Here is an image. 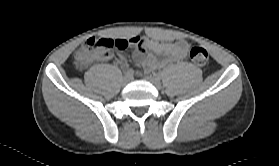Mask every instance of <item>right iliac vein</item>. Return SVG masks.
I'll list each match as a JSON object with an SVG mask.
<instances>
[{
	"label": "right iliac vein",
	"instance_id": "63e3f726",
	"mask_svg": "<svg viewBox=\"0 0 279 166\" xmlns=\"http://www.w3.org/2000/svg\"><path fill=\"white\" fill-rule=\"evenodd\" d=\"M130 80H131V76L125 75V76L122 78L121 84H122L123 86H125V85H127V84L130 82Z\"/></svg>",
	"mask_w": 279,
	"mask_h": 166
}]
</instances>
